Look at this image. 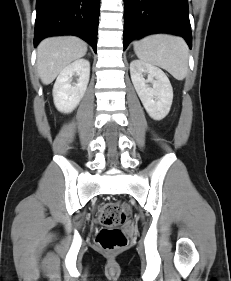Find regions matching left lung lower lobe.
<instances>
[{"mask_svg":"<svg viewBox=\"0 0 231 281\" xmlns=\"http://www.w3.org/2000/svg\"><path fill=\"white\" fill-rule=\"evenodd\" d=\"M165 32L192 47L187 0H124V49L139 36Z\"/></svg>","mask_w":231,"mask_h":281,"instance_id":"left-lung-lower-lobe-1","label":"left lung lower lobe"}]
</instances>
